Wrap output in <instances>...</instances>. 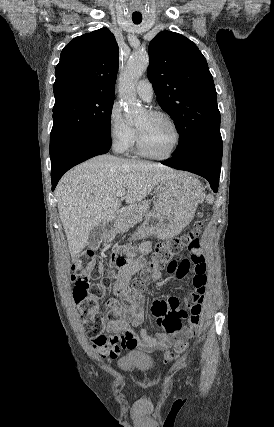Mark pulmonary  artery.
Listing matches in <instances>:
<instances>
[{"label":"pulmonary artery","mask_w":274,"mask_h":427,"mask_svg":"<svg viewBox=\"0 0 274 427\" xmlns=\"http://www.w3.org/2000/svg\"><path fill=\"white\" fill-rule=\"evenodd\" d=\"M136 93L144 101H151L153 97V87L150 81L146 78L140 80L136 85Z\"/></svg>","instance_id":"1"}]
</instances>
